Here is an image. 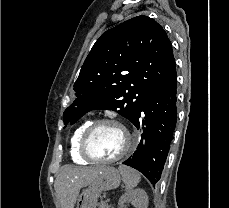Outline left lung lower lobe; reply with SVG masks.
Listing matches in <instances>:
<instances>
[{"mask_svg": "<svg viewBox=\"0 0 229 208\" xmlns=\"http://www.w3.org/2000/svg\"><path fill=\"white\" fill-rule=\"evenodd\" d=\"M177 120V75L166 86L150 92L131 121L143 129L133 156L123 162L155 185L166 162Z\"/></svg>", "mask_w": 229, "mask_h": 208, "instance_id": "obj_1", "label": "left lung lower lobe"}]
</instances>
